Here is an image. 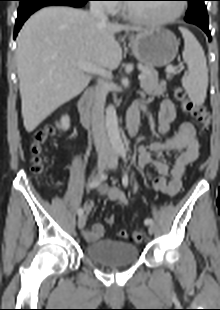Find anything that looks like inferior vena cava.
Returning <instances> with one entry per match:
<instances>
[{"label":"inferior vena cava","mask_w":220,"mask_h":310,"mask_svg":"<svg viewBox=\"0 0 220 310\" xmlns=\"http://www.w3.org/2000/svg\"><path fill=\"white\" fill-rule=\"evenodd\" d=\"M90 14L101 21L108 22V17L105 14L104 6L100 1H92L90 4ZM107 90L104 82L98 81L95 86V93L92 107V135L99 156L110 155L113 153V148L106 135L104 105L106 100Z\"/></svg>","instance_id":"inferior-vena-cava-1"}]
</instances>
